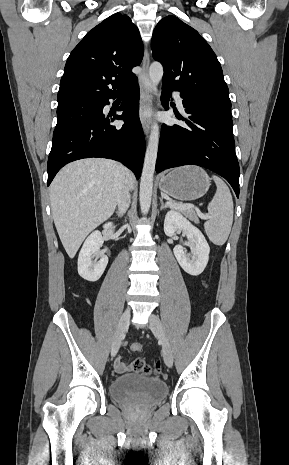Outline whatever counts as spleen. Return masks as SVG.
I'll return each mask as SVG.
<instances>
[{
  "mask_svg": "<svg viewBox=\"0 0 289 465\" xmlns=\"http://www.w3.org/2000/svg\"><path fill=\"white\" fill-rule=\"evenodd\" d=\"M217 186L216 193L208 204V219L205 224V232L210 241L218 246L223 245L230 234L233 223V200L228 186L222 179L213 176Z\"/></svg>",
  "mask_w": 289,
  "mask_h": 465,
  "instance_id": "3e777b00",
  "label": "spleen"
}]
</instances>
